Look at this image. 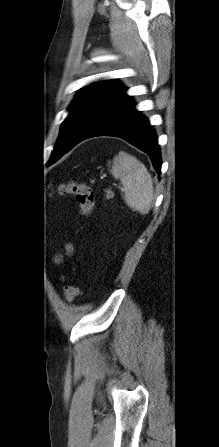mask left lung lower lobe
Here are the masks:
<instances>
[{
    "instance_id": "obj_1",
    "label": "left lung lower lobe",
    "mask_w": 219,
    "mask_h": 447,
    "mask_svg": "<svg viewBox=\"0 0 219 447\" xmlns=\"http://www.w3.org/2000/svg\"><path fill=\"white\" fill-rule=\"evenodd\" d=\"M135 105L136 104L131 96H126V98H124L83 140L96 136H114L122 138L148 154L154 169L157 171L158 175H160L161 154L157 136L154 129L149 124L148 119L135 109ZM77 144L72 145L60 156L51 158L46 165L50 166L56 162Z\"/></svg>"
}]
</instances>
